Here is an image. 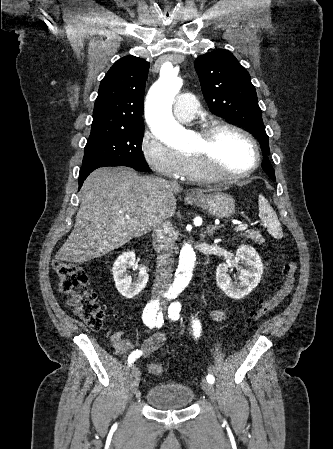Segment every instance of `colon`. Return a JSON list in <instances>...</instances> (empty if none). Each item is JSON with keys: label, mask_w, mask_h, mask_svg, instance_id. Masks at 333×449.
Listing matches in <instances>:
<instances>
[{"label": "colon", "mask_w": 333, "mask_h": 449, "mask_svg": "<svg viewBox=\"0 0 333 449\" xmlns=\"http://www.w3.org/2000/svg\"><path fill=\"white\" fill-rule=\"evenodd\" d=\"M53 270L57 276L58 288L69 296V304L75 313L88 325L91 330L98 331L102 328L106 317L104 308L99 304L95 293L87 286V275L76 265L62 260L53 262ZM297 265L294 258L288 259L282 268L284 281L279 290L272 296L259 301V308L250 312L245 321L246 325H252L272 313L291 293ZM149 371L153 375L163 372L161 364L152 363Z\"/></svg>", "instance_id": "obj_1"}]
</instances>
